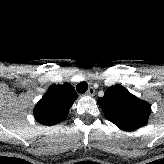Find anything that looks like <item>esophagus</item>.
<instances>
[{"instance_id": "obj_1", "label": "esophagus", "mask_w": 164, "mask_h": 164, "mask_svg": "<svg viewBox=\"0 0 164 164\" xmlns=\"http://www.w3.org/2000/svg\"><path fill=\"white\" fill-rule=\"evenodd\" d=\"M87 95L89 96H94L95 94V89L93 87H90L87 92H86Z\"/></svg>"}]
</instances>
